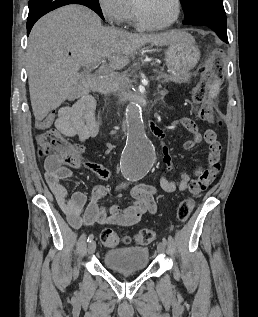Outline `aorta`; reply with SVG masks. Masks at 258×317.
I'll return each mask as SVG.
<instances>
[{
    "instance_id": "762f6f07",
    "label": "aorta",
    "mask_w": 258,
    "mask_h": 317,
    "mask_svg": "<svg viewBox=\"0 0 258 317\" xmlns=\"http://www.w3.org/2000/svg\"><path fill=\"white\" fill-rule=\"evenodd\" d=\"M127 141L121 157V171L125 178L138 180L152 168L155 149L147 137L142 109L136 102L126 108Z\"/></svg>"
}]
</instances>
